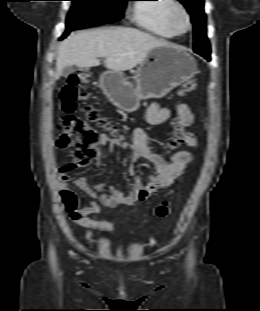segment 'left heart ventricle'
<instances>
[{
	"label": "left heart ventricle",
	"mask_w": 260,
	"mask_h": 311,
	"mask_svg": "<svg viewBox=\"0 0 260 311\" xmlns=\"http://www.w3.org/2000/svg\"><path fill=\"white\" fill-rule=\"evenodd\" d=\"M176 26L178 27V29L180 30H185L186 28V22L184 20V18L182 16H178L176 19Z\"/></svg>",
	"instance_id": "1"
}]
</instances>
